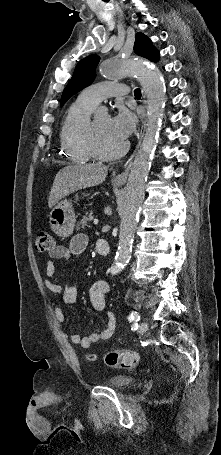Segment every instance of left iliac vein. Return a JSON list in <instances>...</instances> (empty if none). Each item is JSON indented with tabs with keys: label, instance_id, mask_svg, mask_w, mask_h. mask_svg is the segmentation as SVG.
<instances>
[{
	"label": "left iliac vein",
	"instance_id": "1",
	"mask_svg": "<svg viewBox=\"0 0 221 455\" xmlns=\"http://www.w3.org/2000/svg\"><path fill=\"white\" fill-rule=\"evenodd\" d=\"M148 330V324L146 322H141L139 325V332L145 333Z\"/></svg>",
	"mask_w": 221,
	"mask_h": 455
}]
</instances>
